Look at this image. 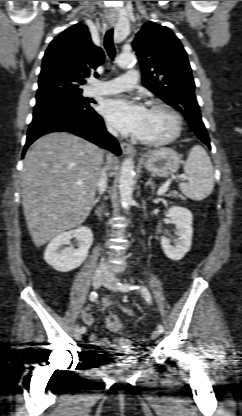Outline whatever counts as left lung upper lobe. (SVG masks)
<instances>
[{
  "label": "left lung upper lobe",
  "instance_id": "1",
  "mask_svg": "<svg viewBox=\"0 0 242 416\" xmlns=\"http://www.w3.org/2000/svg\"><path fill=\"white\" fill-rule=\"evenodd\" d=\"M146 88L179 110L191 131L208 137L194 93V80L187 53L175 34L153 22L143 25L132 43Z\"/></svg>",
  "mask_w": 242,
  "mask_h": 416
}]
</instances>
